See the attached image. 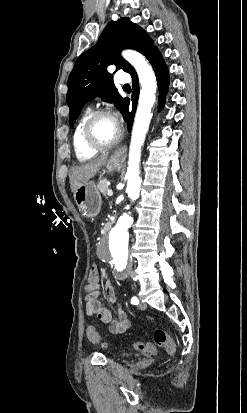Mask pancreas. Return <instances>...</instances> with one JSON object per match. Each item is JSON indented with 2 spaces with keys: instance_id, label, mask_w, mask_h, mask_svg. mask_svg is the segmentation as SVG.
I'll return each mask as SVG.
<instances>
[{
  "instance_id": "pancreas-1",
  "label": "pancreas",
  "mask_w": 247,
  "mask_h": 413,
  "mask_svg": "<svg viewBox=\"0 0 247 413\" xmlns=\"http://www.w3.org/2000/svg\"><path fill=\"white\" fill-rule=\"evenodd\" d=\"M107 182H109L107 178H100L98 182V190L102 192L103 196H107V190L109 188V184H107Z\"/></svg>"
}]
</instances>
